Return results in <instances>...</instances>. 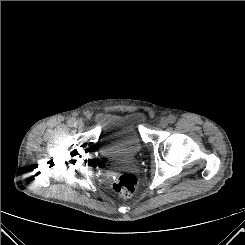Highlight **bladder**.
Masks as SVG:
<instances>
[{
	"label": "bladder",
	"mask_w": 245,
	"mask_h": 245,
	"mask_svg": "<svg viewBox=\"0 0 245 245\" xmlns=\"http://www.w3.org/2000/svg\"><path fill=\"white\" fill-rule=\"evenodd\" d=\"M144 119L141 111L100 114L98 121L103 133L104 156L113 160H127L139 154L144 145L140 130Z\"/></svg>",
	"instance_id": "1"
}]
</instances>
